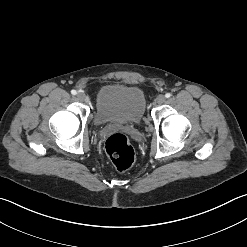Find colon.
Masks as SVG:
<instances>
[{"label":"colon","instance_id":"obj_1","mask_svg":"<svg viewBox=\"0 0 247 247\" xmlns=\"http://www.w3.org/2000/svg\"><path fill=\"white\" fill-rule=\"evenodd\" d=\"M108 158L119 171L128 170L134 162V149L128 137L121 133L110 135L105 142Z\"/></svg>","mask_w":247,"mask_h":247}]
</instances>
